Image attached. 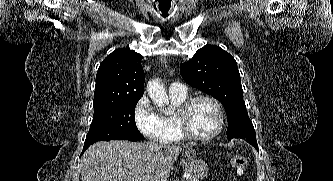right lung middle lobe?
<instances>
[{
	"label": "right lung middle lobe",
	"mask_w": 333,
	"mask_h": 181,
	"mask_svg": "<svg viewBox=\"0 0 333 181\" xmlns=\"http://www.w3.org/2000/svg\"><path fill=\"white\" fill-rule=\"evenodd\" d=\"M138 100H131L94 108V117L84 146L97 141L130 140L144 138L135 124L134 111Z\"/></svg>",
	"instance_id": "right-lung-middle-lobe-1"
}]
</instances>
